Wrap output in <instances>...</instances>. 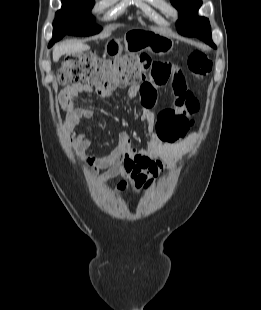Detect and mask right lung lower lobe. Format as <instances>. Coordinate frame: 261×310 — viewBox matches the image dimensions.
<instances>
[{
    "mask_svg": "<svg viewBox=\"0 0 261 310\" xmlns=\"http://www.w3.org/2000/svg\"><path fill=\"white\" fill-rule=\"evenodd\" d=\"M61 38H53L49 43V47L52 46L56 41L60 40Z\"/></svg>",
    "mask_w": 261,
    "mask_h": 310,
    "instance_id": "98d812e1",
    "label": "right lung lower lobe"
}]
</instances>
